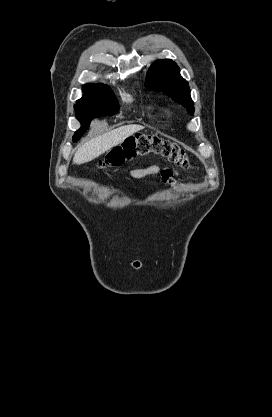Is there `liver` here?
<instances>
[{
	"label": "liver",
	"instance_id": "obj_1",
	"mask_svg": "<svg viewBox=\"0 0 272 417\" xmlns=\"http://www.w3.org/2000/svg\"><path fill=\"white\" fill-rule=\"evenodd\" d=\"M143 128L141 125H125L95 137L78 148L73 162L77 165L90 162Z\"/></svg>",
	"mask_w": 272,
	"mask_h": 417
}]
</instances>
